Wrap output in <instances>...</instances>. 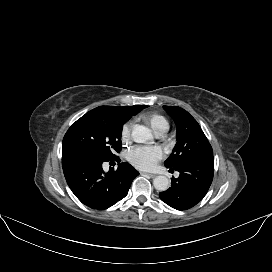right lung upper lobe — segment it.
Masks as SVG:
<instances>
[{"instance_id": "obj_1", "label": "right lung upper lobe", "mask_w": 272, "mask_h": 272, "mask_svg": "<svg viewBox=\"0 0 272 272\" xmlns=\"http://www.w3.org/2000/svg\"><path fill=\"white\" fill-rule=\"evenodd\" d=\"M111 107H115V106H111ZM145 107H147V106L146 105H135V106L115 107V108L118 109L123 114H126L130 118L132 115L137 114Z\"/></svg>"}]
</instances>
